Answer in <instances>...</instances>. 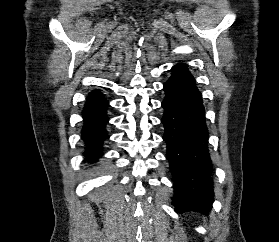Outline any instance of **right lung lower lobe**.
Returning <instances> with one entry per match:
<instances>
[{
  "mask_svg": "<svg viewBox=\"0 0 279 242\" xmlns=\"http://www.w3.org/2000/svg\"><path fill=\"white\" fill-rule=\"evenodd\" d=\"M108 107L107 100L99 91H93L87 96L82 113V139L88 162H96L103 155V144L109 138L106 130Z\"/></svg>",
  "mask_w": 279,
  "mask_h": 242,
  "instance_id": "obj_1",
  "label": "right lung lower lobe"
}]
</instances>
